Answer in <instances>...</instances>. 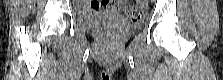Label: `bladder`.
I'll use <instances>...</instances> for the list:
<instances>
[{"instance_id": "obj_1", "label": "bladder", "mask_w": 223, "mask_h": 80, "mask_svg": "<svg viewBox=\"0 0 223 80\" xmlns=\"http://www.w3.org/2000/svg\"><path fill=\"white\" fill-rule=\"evenodd\" d=\"M107 22L116 23L124 31L134 32L137 30L136 24H129L125 22L120 15L115 13H95L89 15H81L78 18L79 25L87 29H99L103 27Z\"/></svg>"}]
</instances>
